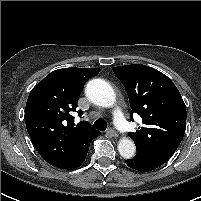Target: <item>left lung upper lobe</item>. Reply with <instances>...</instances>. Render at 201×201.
I'll return each instance as SVG.
<instances>
[{
    "label": "left lung upper lobe",
    "instance_id": "left-lung-upper-lobe-1",
    "mask_svg": "<svg viewBox=\"0 0 201 201\" xmlns=\"http://www.w3.org/2000/svg\"><path fill=\"white\" fill-rule=\"evenodd\" d=\"M124 85L133 113L144 126L129 136L137 154H174L186 128V106L174 83L160 71L142 64L113 68Z\"/></svg>",
    "mask_w": 201,
    "mask_h": 201
}]
</instances>
